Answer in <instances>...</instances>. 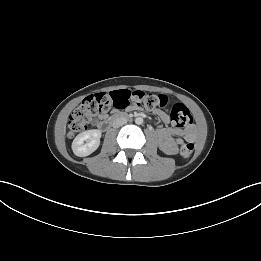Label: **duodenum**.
<instances>
[{
  "label": "duodenum",
  "mask_w": 261,
  "mask_h": 261,
  "mask_svg": "<svg viewBox=\"0 0 261 261\" xmlns=\"http://www.w3.org/2000/svg\"><path fill=\"white\" fill-rule=\"evenodd\" d=\"M128 116L122 113H115L111 118L101 120L97 127L101 131H107L113 124L114 121L119 119L127 118Z\"/></svg>",
  "instance_id": "410a0bca"
}]
</instances>
